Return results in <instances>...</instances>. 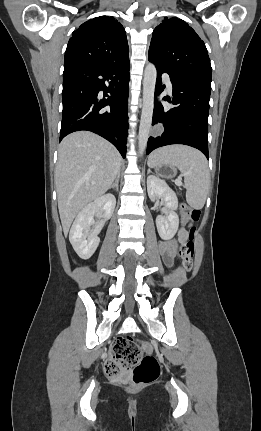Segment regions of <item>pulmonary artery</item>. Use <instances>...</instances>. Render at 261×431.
I'll list each match as a JSON object with an SVG mask.
<instances>
[{"label": "pulmonary artery", "mask_w": 261, "mask_h": 431, "mask_svg": "<svg viewBox=\"0 0 261 431\" xmlns=\"http://www.w3.org/2000/svg\"><path fill=\"white\" fill-rule=\"evenodd\" d=\"M163 79H164V81H165V83H166L167 87H168L169 89H172V84H171V80H170L169 75H168V74H166V73H164V74H163Z\"/></svg>", "instance_id": "1"}]
</instances>
